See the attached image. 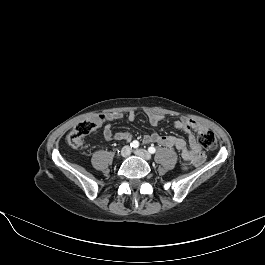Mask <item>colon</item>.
<instances>
[{
    "mask_svg": "<svg viewBox=\"0 0 265 265\" xmlns=\"http://www.w3.org/2000/svg\"><path fill=\"white\" fill-rule=\"evenodd\" d=\"M106 120L103 114L96 115L84 122L79 123L67 136V142L71 147L78 148L83 144V139L86 135L95 130ZM198 141L202 147L208 151H213L217 148V138L212 131H202L198 133Z\"/></svg>",
    "mask_w": 265,
    "mask_h": 265,
    "instance_id": "5ec220e1",
    "label": "colon"
}]
</instances>
